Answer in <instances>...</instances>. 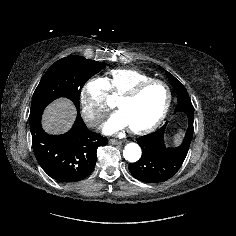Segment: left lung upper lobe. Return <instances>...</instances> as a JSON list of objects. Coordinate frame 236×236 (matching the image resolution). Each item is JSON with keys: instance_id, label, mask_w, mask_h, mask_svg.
Here are the masks:
<instances>
[{"instance_id": "left-lung-upper-lobe-1", "label": "left lung upper lobe", "mask_w": 236, "mask_h": 236, "mask_svg": "<svg viewBox=\"0 0 236 236\" xmlns=\"http://www.w3.org/2000/svg\"><path fill=\"white\" fill-rule=\"evenodd\" d=\"M171 85L173 86L176 95H177V99H178V103H181L183 101H191L187 90L185 89V87L181 84V82H179L171 73H169L168 71L165 72Z\"/></svg>"}]
</instances>
